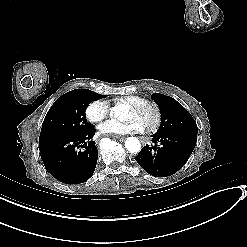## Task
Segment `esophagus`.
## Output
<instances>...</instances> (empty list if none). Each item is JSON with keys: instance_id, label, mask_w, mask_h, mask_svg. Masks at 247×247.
I'll return each instance as SVG.
<instances>
[{"instance_id": "1", "label": "esophagus", "mask_w": 247, "mask_h": 247, "mask_svg": "<svg viewBox=\"0 0 247 247\" xmlns=\"http://www.w3.org/2000/svg\"><path fill=\"white\" fill-rule=\"evenodd\" d=\"M137 139H138V141H141V143H142L143 145H145V140H141V137H140V136H137Z\"/></svg>"}]
</instances>
